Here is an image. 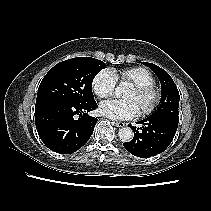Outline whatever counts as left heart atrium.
<instances>
[{"label":"left heart atrium","mask_w":211,"mask_h":211,"mask_svg":"<svg viewBox=\"0 0 211 211\" xmlns=\"http://www.w3.org/2000/svg\"><path fill=\"white\" fill-rule=\"evenodd\" d=\"M140 109L131 99H112L101 103L100 112L104 116L114 120H126L135 117Z\"/></svg>","instance_id":"obj_1"}]
</instances>
